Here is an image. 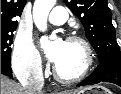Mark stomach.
<instances>
[{
    "instance_id": "obj_1",
    "label": "stomach",
    "mask_w": 121,
    "mask_h": 94,
    "mask_svg": "<svg viewBox=\"0 0 121 94\" xmlns=\"http://www.w3.org/2000/svg\"><path fill=\"white\" fill-rule=\"evenodd\" d=\"M77 94H112V93L107 88L97 85L81 90Z\"/></svg>"
}]
</instances>
